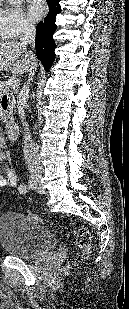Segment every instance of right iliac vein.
Returning <instances> with one entry per match:
<instances>
[{"mask_svg":"<svg viewBox=\"0 0 129 309\" xmlns=\"http://www.w3.org/2000/svg\"><path fill=\"white\" fill-rule=\"evenodd\" d=\"M29 186L35 190L42 191L40 179L37 177H31L29 180Z\"/></svg>","mask_w":129,"mask_h":309,"instance_id":"right-iliac-vein-1","label":"right iliac vein"}]
</instances>
